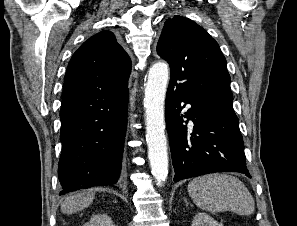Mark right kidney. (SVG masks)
<instances>
[{
    "label": "right kidney",
    "instance_id": "right-kidney-1",
    "mask_svg": "<svg viewBox=\"0 0 297 226\" xmlns=\"http://www.w3.org/2000/svg\"><path fill=\"white\" fill-rule=\"evenodd\" d=\"M84 226H114L111 218L106 214L93 215Z\"/></svg>",
    "mask_w": 297,
    "mask_h": 226
}]
</instances>
